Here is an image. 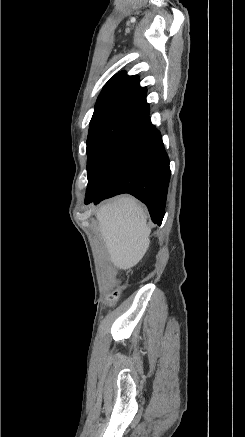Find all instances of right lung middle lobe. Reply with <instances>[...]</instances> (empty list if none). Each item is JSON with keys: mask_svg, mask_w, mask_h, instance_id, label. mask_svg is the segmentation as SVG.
<instances>
[{"mask_svg": "<svg viewBox=\"0 0 245 437\" xmlns=\"http://www.w3.org/2000/svg\"><path fill=\"white\" fill-rule=\"evenodd\" d=\"M144 115V112L124 105L95 108L87 137L88 180L113 144Z\"/></svg>", "mask_w": 245, "mask_h": 437, "instance_id": "1", "label": "right lung middle lobe"}]
</instances>
